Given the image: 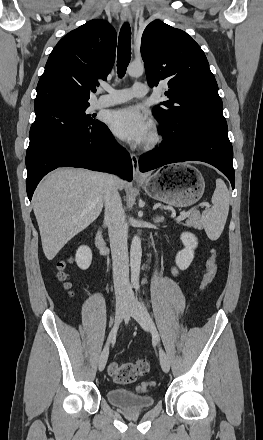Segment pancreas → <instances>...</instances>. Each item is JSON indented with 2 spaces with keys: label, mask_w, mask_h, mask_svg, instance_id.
<instances>
[{
  "label": "pancreas",
  "mask_w": 263,
  "mask_h": 440,
  "mask_svg": "<svg viewBox=\"0 0 263 440\" xmlns=\"http://www.w3.org/2000/svg\"><path fill=\"white\" fill-rule=\"evenodd\" d=\"M185 226L194 227L195 229H202V220L201 215L198 210H193L189 215L188 219L185 222Z\"/></svg>",
  "instance_id": "obj_1"
}]
</instances>
